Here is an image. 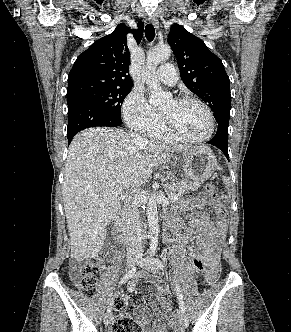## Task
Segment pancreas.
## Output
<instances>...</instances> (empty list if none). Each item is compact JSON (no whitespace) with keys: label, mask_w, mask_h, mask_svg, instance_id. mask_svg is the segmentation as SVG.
Here are the masks:
<instances>
[{"label":"pancreas","mask_w":291,"mask_h":332,"mask_svg":"<svg viewBox=\"0 0 291 332\" xmlns=\"http://www.w3.org/2000/svg\"><path fill=\"white\" fill-rule=\"evenodd\" d=\"M202 182L197 181H189V180H183L180 182H171L169 184L165 185V192L168 195L169 198L180 196L181 194L189 191H196L200 186Z\"/></svg>","instance_id":"pancreas-1"}]
</instances>
